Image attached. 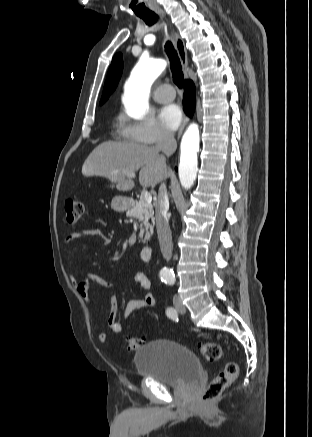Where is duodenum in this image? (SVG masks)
<instances>
[{
  "label": "duodenum",
  "mask_w": 312,
  "mask_h": 437,
  "mask_svg": "<svg viewBox=\"0 0 312 437\" xmlns=\"http://www.w3.org/2000/svg\"><path fill=\"white\" fill-rule=\"evenodd\" d=\"M153 248L151 246H143L140 249V260L143 262H150L152 260Z\"/></svg>",
  "instance_id": "410a0bca"
}]
</instances>
